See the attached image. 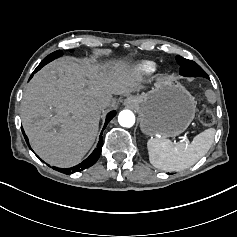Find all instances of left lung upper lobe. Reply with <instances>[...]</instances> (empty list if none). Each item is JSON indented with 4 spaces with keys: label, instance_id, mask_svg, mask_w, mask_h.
I'll list each match as a JSON object with an SVG mask.
<instances>
[{
    "label": "left lung upper lobe",
    "instance_id": "1",
    "mask_svg": "<svg viewBox=\"0 0 237 237\" xmlns=\"http://www.w3.org/2000/svg\"><path fill=\"white\" fill-rule=\"evenodd\" d=\"M176 60L180 65V75L186 77H203L209 79L207 73L194 61L176 56Z\"/></svg>",
    "mask_w": 237,
    "mask_h": 237
}]
</instances>
